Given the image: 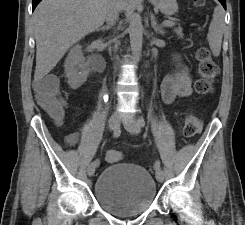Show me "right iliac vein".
<instances>
[{
  "label": "right iliac vein",
  "instance_id": "63e3f726",
  "mask_svg": "<svg viewBox=\"0 0 245 225\" xmlns=\"http://www.w3.org/2000/svg\"><path fill=\"white\" fill-rule=\"evenodd\" d=\"M119 122H120L119 115H118L117 113H114V114L110 117V119H109V121H108L109 129H110V130H115V129L118 127ZM87 172H88V175H89V176H93V175H94V173H95V165H94L93 162L88 166Z\"/></svg>",
  "mask_w": 245,
  "mask_h": 225
}]
</instances>
